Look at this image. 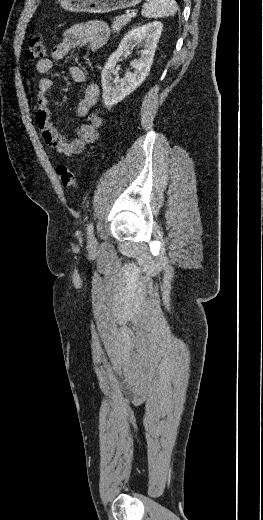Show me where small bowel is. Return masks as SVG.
<instances>
[{"mask_svg": "<svg viewBox=\"0 0 263 520\" xmlns=\"http://www.w3.org/2000/svg\"><path fill=\"white\" fill-rule=\"evenodd\" d=\"M108 36L109 28L101 21L73 25L64 32L62 41L53 47L52 58H43L36 63V72L41 77L35 94L37 104L35 123L44 142L58 153L66 156L78 155L98 138L102 119L98 114L91 113V110L97 102L99 88L94 82L87 83L86 74L79 66L70 67L72 79L79 84H85L83 95L76 106V115L85 118L86 121L74 137L68 138L51 122L48 92L53 86V81L46 75L51 71L54 61L66 58L72 50L79 47L86 46L91 51H97L104 45Z\"/></svg>", "mask_w": 263, "mask_h": 520, "instance_id": "obj_1", "label": "small bowel"}]
</instances>
